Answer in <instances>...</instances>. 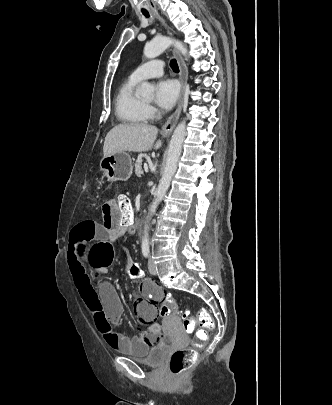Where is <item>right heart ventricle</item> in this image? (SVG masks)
Returning a JSON list of instances; mask_svg holds the SVG:
<instances>
[{
	"label": "right heart ventricle",
	"mask_w": 332,
	"mask_h": 405,
	"mask_svg": "<svg viewBox=\"0 0 332 405\" xmlns=\"http://www.w3.org/2000/svg\"><path fill=\"white\" fill-rule=\"evenodd\" d=\"M139 81L131 77L118 90L115 98V113L124 124H141L148 121L150 115L147 105L135 94Z\"/></svg>",
	"instance_id": "e07e8e85"
}]
</instances>
